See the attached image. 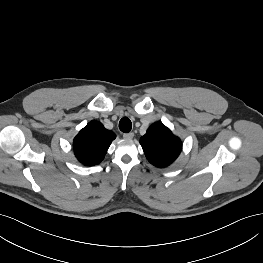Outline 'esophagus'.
<instances>
[{
	"label": "esophagus",
	"mask_w": 263,
	"mask_h": 263,
	"mask_svg": "<svg viewBox=\"0 0 263 263\" xmlns=\"http://www.w3.org/2000/svg\"><path fill=\"white\" fill-rule=\"evenodd\" d=\"M134 137V133L133 132H130V133H124L123 134V138L124 139H127V140H130Z\"/></svg>",
	"instance_id": "34e87169"
}]
</instances>
